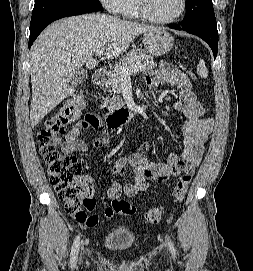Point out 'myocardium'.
<instances>
[{"instance_id": "f54148a6", "label": "myocardium", "mask_w": 253, "mask_h": 271, "mask_svg": "<svg viewBox=\"0 0 253 271\" xmlns=\"http://www.w3.org/2000/svg\"><path fill=\"white\" fill-rule=\"evenodd\" d=\"M135 2H136L139 15L143 19L152 23H156V24H171L178 21L185 14L186 8H187V0H180L179 11L170 18L162 19V18L154 17L148 12V9L146 7V0H135Z\"/></svg>"}]
</instances>
